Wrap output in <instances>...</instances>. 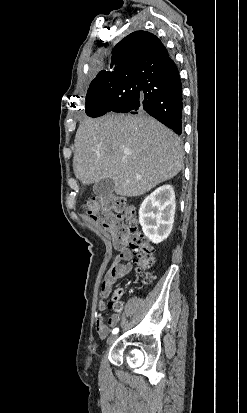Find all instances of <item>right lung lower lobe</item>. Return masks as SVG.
I'll list each match as a JSON object with an SVG mask.
<instances>
[{
    "mask_svg": "<svg viewBox=\"0 0 247 413\" xmlns=\"http://www.w3.org/2000/svg\"><path fill=\"white\" fill-rule=\"evenodd\" d=\"M126 91L109 98L90 117L108 112L148 113L178 135L182 133V86L178 69L168 62L160 71L125 77Z\"/></svg>",
    "mask_w": 247,
    "mask_h": 413,
    "instance_id": "obj_1",
    "label": "right lung lower lobe"
}]
</instances>
